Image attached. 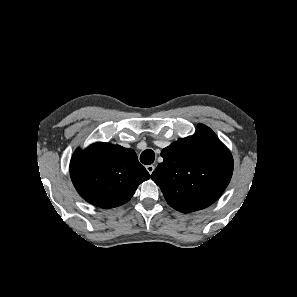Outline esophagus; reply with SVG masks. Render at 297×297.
<instances>
[{"label":"esophagus","instance_id":"1","mask_svg":"<svg viewBox=\"0 0 297 297\" xmlns=\"http://www.w3.org/2000/svg\"><path fill=\"white\" fill-rule=\"evenodd\" d=\"M146 169L148 171V173L151 175L155 169V166L154 165H148L146 166Z\"/></svg>","mask_w":297,"mask_h":297}]
</instances>
